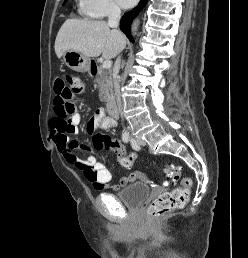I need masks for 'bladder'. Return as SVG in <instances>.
I'll list each match as a JSON object with an SVG mask.
<instances>
[{
	"instance_id": "bladder-1",
	"label": "bladder",
	"mask_w": 248,
	"mask_h": 258,
	"mask_svg": "<svg viewBox=\"0 0 248 258\" xmlns=\"http://www.w3.org/2000/svg\"><path fill=\"white\" fill-rule=\"evenodd\" d=\"M149 187L145 183H132L123 190L117 192L115 196L128 208H138L142 201L149 195Z\"/></svg>"
}]
</instances>
